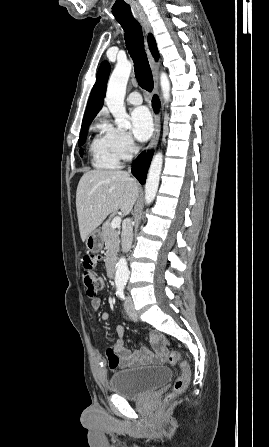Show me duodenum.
<instances>
[{
    "label": "duodenum",
    "instance_id": "1",
    "mask_svg": "<svg viewBox=\"0 0 269 447\" xmlns=\"http://www.w3.org/2000/svg\"><path fill=\"white\" fill-rule=\"evenodd\" d=\"M107 275L110 279H114L116 275L115 259H110L107 264Z\"/></svg>",
    "mask_w": 269,
    "mask_h": 447
}]
</instances>
